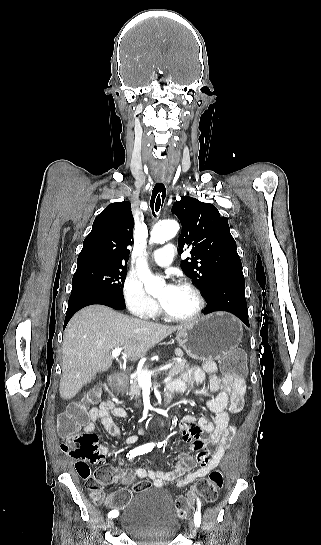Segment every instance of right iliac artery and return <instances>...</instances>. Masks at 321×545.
<instances>
[{
    "mask_svg": "<svg viewBox=\"0 0 321 545\" xmlns=\"http://www.w3.org/2000/svg\"><path fill=\"white\" fill-rule=\"evenodd\" d=\"M154 448V444L153 443H148V444H145L143 446H140V447H137L135 449H133L132 451H129V453L127 454V457L129 459H132L134 457H136L137 455H141V454H145V453H148L150 452L152 449ZM118 516V511L116 510H112L108 513V517L109 518H115Z\"/></svg>",
    "mask_w": 321,
    "mask_h": 545,
    "instance_id": "obj_1",
    "label": "right iliac artery"
}]
</instances>
